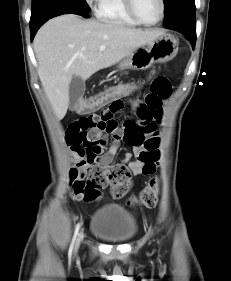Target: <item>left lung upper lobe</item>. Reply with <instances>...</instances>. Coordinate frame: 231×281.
<instances>
[{
  "instance_id": "1",
  "label": "left lung upper lobe",
  "mask_w": 231,
  "mask_h": 281,
  "mask_svg": "<svg viewBox=\"0 0 231 281\" xmlns=\"http://www.w3.org/2000/svg\"><path fill=\"white\" fill-rule=\"evenodd\" d=\"M165 7L164 23L173 17L189 11H195V0H163Z\"/></svg>"
}]
</instances>
